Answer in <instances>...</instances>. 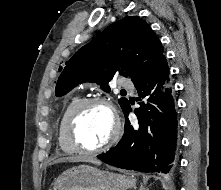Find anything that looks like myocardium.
I'll return each mask as SVG.
<instances>
[{
  "label": "myocardium",
  "instance_id": "obj_1",
  "mask_svg": "<svg viewBox=\"0 0 221 190\" xmlns=\"http://www.w3.org/2000/svg\"><path fill=\"white\" fill-rule=\"evenodd\" d=\"M95 104L104 105L110 110L113 116L114 127L112 135L104 144L95 148H87L81 143V141L78 138V124L85 110ZM66 133L69 142L74 147L76 152L82 154H97L108 150L117 142L121 133V122L117 110L113 105L112 101L106 97L96 96L84 99L73 109L66 122Z\"/></svg>",
  "mask_w": 221,
  "mask_h": 190
}]
</instances>
